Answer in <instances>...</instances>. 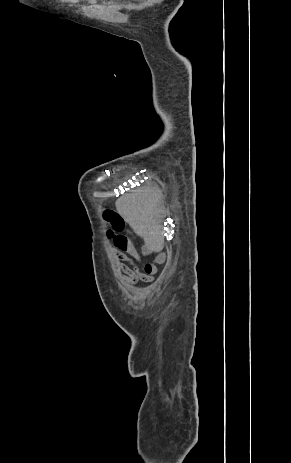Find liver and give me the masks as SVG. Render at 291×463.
I'll list each match as a JSON object with an SVG mask.
<instances>
[{"label":"liver","mask_w":291,"mask_h":463,"mask_svg":"<svg viewBox=\"0 0 291 463\" xmlns=\"http://www.w3.org/2000/svg\"><path fill=\"white\" fill-rule=\"evenodd\" d=\"M116 209L133 231L143 238L149 252H161L164 236L159 212V195L144 188L116 200Z\"/></svg>","instance_id":"obj_1"}]
</instances>
